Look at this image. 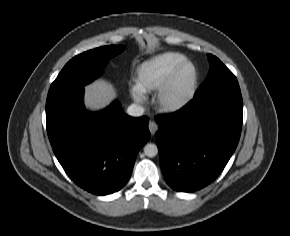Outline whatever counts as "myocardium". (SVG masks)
Returning <instances> with one entry per match:
<instances>
[{"instance_id": "myocardium-1", "label": "myocardium", "mask_w": 290, "mask_h": 236, "mask_svg": "<svg viewBox=\"0 0 290 236\" xmlns=\"http://www.w3.org/2000/svg\"><path fill=\"white\" fill-rule=\"evenodd\" d=\"M187 67L192 69V78L188 88L182 94L172 96L178 77ZM198 83L199 73L196 65L189 60H185L175 68L168 80L155 93L154 103L156 107L163 113H174L183 109L195 96Z\"/></svg>"}]
</instances>
